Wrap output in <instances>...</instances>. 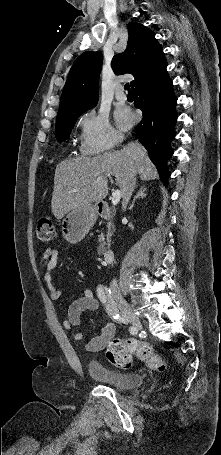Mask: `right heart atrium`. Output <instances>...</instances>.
Wrapping results in <instances>:
<instances>
[{
	"instance_id": "1",
	"label": "right heart atrium",
	"mask_w": 221,
	"mask_h": 455,
	"mask_svg": "<svg viewBox=\"0 0 221 455\" xmlns=\"http://www.w3.org/2000/svg\"><path fill=\"white\" fill-rule=\"evenodd\" d=\"M79 150L84 155H96L112 150L120 141L121 133L115 129L108 117L94 109L79 118Z\"/></svg>"
}]
</instances>
